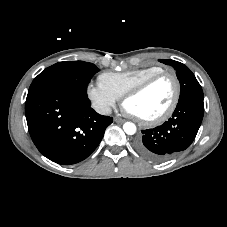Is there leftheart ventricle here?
Masks as SVG:
<instances>
[{
  "mask_svg": "<svg viewBox=\"0 0 227 227\" xmlns=\"http://www.w3.org/2000/svg\"><path fill=\"white\" fill-rule=\"evenodd\" d=\"M174 95V83L169 76L162 77L143 93L128 99L125 103L135 116L150 119L163 113Z\"/></svg>",
  "mask_w": 227,
  "mask_h": 227,
  "instance_id": "obj_1",
  "label": "left heart ventricle"
}]
</instances>
